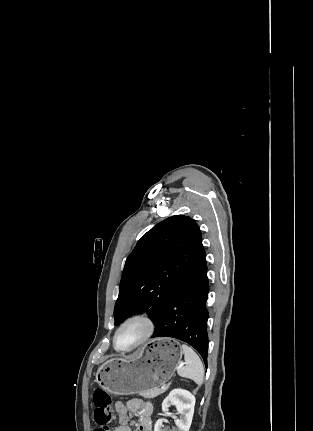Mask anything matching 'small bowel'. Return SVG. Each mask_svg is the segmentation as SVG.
<instances>
[{
	"instance_id": "small-bowel-1",
	"label": "small bowel",
	"mask_w": 313,
	"mask_h": 431,
	"mask_svg": "<svg viewBox=\"0 0 313 431\" xmlns=\"http://www.w3.org/2000/svg\"><path fill=\"white\" fill-rule=\"evenodd\" d=\"M115 410L118 414V426L114 431H132L129 426L131 413L138 419L136 431H152V405L149 402L133 398L125 404L116 402Z\"/></svg>"
}]
</instances>
